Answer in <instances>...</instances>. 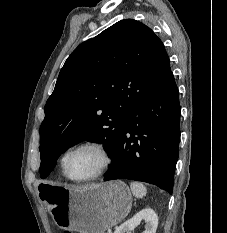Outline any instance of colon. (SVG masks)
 Masks as SVG:
<instances>
[{
    "mask_svg": "<svg viewBox=\"0 0 227 233\" xmlns=\"http://www.w3.org/2000/svg\"><path fill=\"white\" fill-rule=\"evenodd\" d=\"M62 233H71V232H69V231H64V232H62Z\"/></svg>",
    "mask_w": 227,
    "mask_h": 233,
    "instance_id": "5ec220e1",
    "label": "colon"
}]
</instances>
